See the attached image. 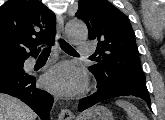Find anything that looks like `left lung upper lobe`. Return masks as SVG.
I'll return each instance as SVG.
<instances>
[{
	"label": "left lung upper lobe",
	"instance_id": "1",
	"mask_svg": "<svg viewBox=\"0 0 165 120\" xmlns=\"http://www.w3.org/2000/svg\"><path fill=\"white\" fill-rule=\"evenodd\" d=\"M76 17L82 19L89 39L97 40L98 64L89 67L98 91L147 94L134 32L127 16L108 0H79Z\"/></svg>",
	"mask_w": 165,
	"mask_h": 120
}]
</instances>
